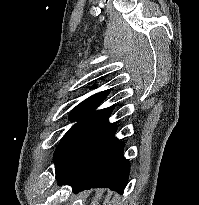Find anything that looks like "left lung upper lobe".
Segmentation results:
<instances>
[{
	"label": "left lung upper lobe",
	"instance_id": "left-lung-upper-lobe-1",
	"mask_svg": "<svg viewBox=\"0 0 199 205\" xmlns=\"http://www.w3.org/2000/svg\"><path fill=\"white\" fill-rule=\"evenodd\" d=\"M107 94V91L96 93L72 111L70 119H77V123L64 135L54 153L57 180L68 173L90 134L111 114L113 107L96 110Z\"/></svg>",
	"mask_w": 199,
	"mask_h": 205
}]
</instances>
